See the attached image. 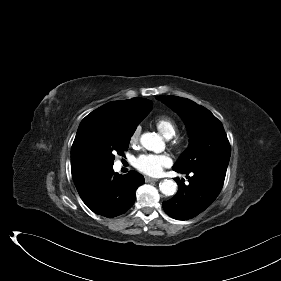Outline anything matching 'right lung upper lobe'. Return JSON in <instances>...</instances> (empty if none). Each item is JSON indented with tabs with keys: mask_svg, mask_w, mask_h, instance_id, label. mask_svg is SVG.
I'll return each instance as SVG.
<instances>
[{
	"mask_svg": "<svg viewBox=\"0 0 281 281\" xmlns=\"http://www.w3.org/2000/svg\"><path fill=\"white\" fill-rule=\"evenodd\" d=\"M152 102L143 98L109 102L88 114L80 123L71 148L73 180L99 169L92 157L91 148L112 131L136 129L150 112Z\"/></svg>",
	"mask_w": 281,
	"mask_h": 281,
	"instance_id": "right-lung-upper-lobe-1",
	"label": "right lung upper lobe"
}]
</instances>
